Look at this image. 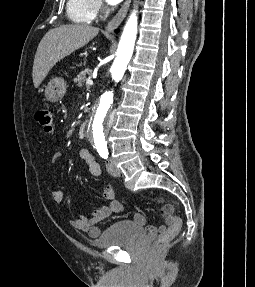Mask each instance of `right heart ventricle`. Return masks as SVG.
<instances>
[{
    "instance_id": "e07e8e85",
    "label": "right heart ventricle",
    "mask_w": 255,
    "mask_h": 287,
    "mask_svg": "<svg viewBox=\"0 0 255 287\" xmlns=\"http://www.w3.org/2000/svg\"><path fill=\"white\" fill-rule=\"evenodd\" d=\"M85 33H101V32H85ZM85 39H97V38H85ZM106 39H112V38H106ZM100 48H117V47H100Z\"/></svg>"
}]
</instances>
